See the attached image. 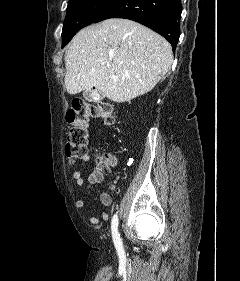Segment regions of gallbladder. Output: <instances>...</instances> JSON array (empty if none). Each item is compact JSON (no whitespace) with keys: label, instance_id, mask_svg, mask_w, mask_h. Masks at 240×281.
Segmentation results:
<instances>
[{"label":"gallbladder","instance_id":"gallbladder-1","mask_svg":"<svg viewBox=\"0 0 240 281\" xmlns=\"http://www.w3.org/2000/svg\"><path fill=\"white\" fill-rule=\"evenodd\" d=\"M83 95H84V97H85L86 99H88V100H90V101H93L94 98L96 97V95H95V96H92L89 91H85ZM102 98H103V96H101V99H102Z\"/></svg>","mask_w":240,"mask_h":281}]
</instances>
